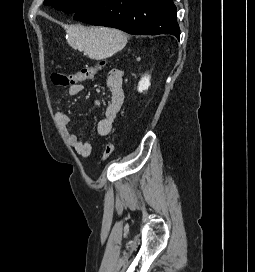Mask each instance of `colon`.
I'll return each instance as SVG.
<instances>
[{
	"label": "colon",
	"instance_id": "1",
	"mask_svg": "<svg viewBox=\"0 0 255 272\" xmlns=\"http://www.w3.org/2000/svg\"><path fill=\"white\" fill-rule=\"evenodd\" d=\"M103 66V62H100L98 65L95 66H86L83 67L81 70L66 74L63 72L55 71L51 74V80L54 84L58 86H70L77 83H81L88 79L94 77V75L101 69ZM115 146L112 141H108L103 149L101 160L107 161L114 153Z\"/></svg>",
	"mask_w": 255,
	"mask_h": 272
}]
</instances>
